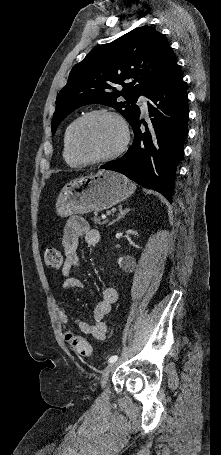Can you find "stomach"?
Instances as JSON below:
<instances>
[{
	"label": "stomach",
	"instance_id": "obj_1",
	"mask_svg": "<svg viewBox=\"0 0 221 455\" xmlns=\"http://www.w3.org/2000/svg\"><path fill=\"white\" fill-rule=\"evenodd\" d=\"M136 186L125 176L108 170L75 179L61 190L56 212L61 217L109 209L129 198Z\"/></svg>",
	"mask_w": 221,
	"mask_h": 455
}]
</instances>
